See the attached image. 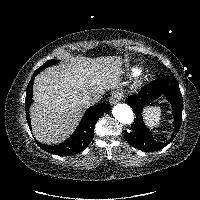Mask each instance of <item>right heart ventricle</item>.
Returning <instances> with one entry per match:
<instances>
[{
    "mask_svg": "<svg viewBox=\"0 0 200 200\" xmlns=\"http://www.w3.org/2000/svg\"><path fill=\"white\" fill-rule=\"evenodd\" d=\"M141 73V69L138 67H133L129 71L130 76H138Z\"/></svg>",
    "mask_w": 200,
    "mask_h": 200,
    "instance_id": "1",
    "label": "right heart ventricle"
}]
</instances>
